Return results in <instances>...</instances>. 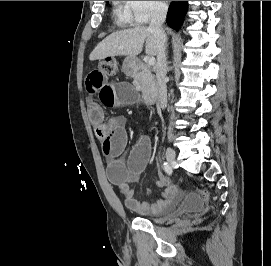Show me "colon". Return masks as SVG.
Here are the masks:
<instances>
[{"mask_svg": "<svg viewBox=\"0 0 271 266\" xmlns=\"http://www.w3.org/2000/svg\"><path fill=\"white\" fill-rule=\"evenodd\" d=\"M98 69H100L101 71H103L106 75L108 76H112L114 74L117 73L118 71V65L116 60L112 59V58H107L104 60H101L98 63ZM203 196L209 200V194L207 191H203Z\"/></svg>", "mask_w": 271, "mask_h": 266, "instance_id": "5ec220e1", "label": "colon"}]
</instances>
